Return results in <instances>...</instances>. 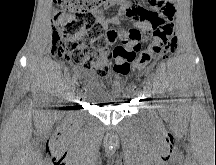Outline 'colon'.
<instances>
[{
    "instance_id": "colon-1",
    "label": "colon",
    "mask_w": 216,
    "mask_h": 165,
    "mask_svg": "<svg viewBox=\"0 0 216 165\" xmlns=\"http://www.w3.org/2000/svg\"><path fill=\"white\" fill-rule=\"evenodd\" d=\"M112 0H54L59 6L53 17V45L56 53L98 78L106 79L111 71L124 72L130 66L148 67L156 55L167 59L175 50L174 10L150 13H131V16L150 21L148 31L125 30L122 45L109 49L97 12ZM151 38L149 48L140 50L139 40ZM115 60L114 65L111 61Z\"/></svg>"
}]
</instances>
